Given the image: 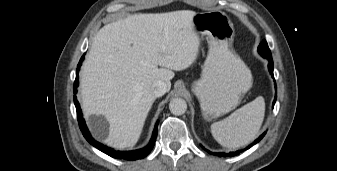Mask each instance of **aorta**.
<instances>
[{
  "label": "aorta",
  "instance_id": "1",
  "mask_svg": "<svg viewBox=\"0 0 337 171\" xmlns=\"http://www.w3.org/2000/svg\"><path fill=\"white\" fill-rule=\"evenodd\" d=\"M169 109L174 115H183L187 110V103L182 98H173L169 103Z\"/></svg>",
  "mask_w": 337,
  "mask_h": 171
}]
</instances>
